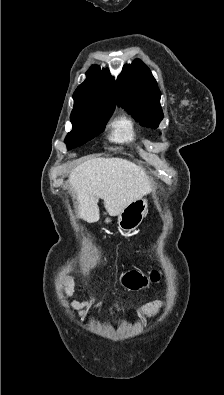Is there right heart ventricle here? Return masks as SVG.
Listing matches in <instances>:
<instances>
[{
  "label": "right heart ventricle",
  "instance_id": "e07e8e85",
  "mask_svg": "<svg viewBox=\"0 0 224 395\" xmlns=\"http://www.w3.org/2000/svg\"><path fill=\"white\" fill-rule=\"evenodd\" d=\"M111 127L113 141L128 144L136 140L135 124L128 116H119L112 122Z\"/></svg>",
  "mask_w": 224,
  "mask_h": 395
}]
</instances>
